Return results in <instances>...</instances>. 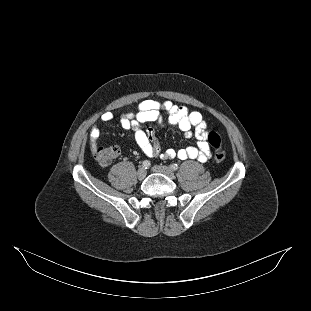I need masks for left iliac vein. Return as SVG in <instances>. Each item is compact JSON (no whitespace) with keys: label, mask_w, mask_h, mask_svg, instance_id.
<instances>
[{"label":"left iliac vein","mask_w":311,"mask_h":311,"mask_svg":"<svg viewBox=\"0 0 311 311\" xmlns=\"http://www.w3.org/2000/svg\"><path fill=\"white\" fill-rule=\"evenodd\" d=\"M152 170L154 172L157 173H162L164 175H166L167 177L173 179L175 177L173 171L171 170V168L167 167V166H163V165H155L152 167Z\"/></svg>","instance_id":"1"}]
</instances>
